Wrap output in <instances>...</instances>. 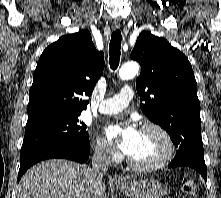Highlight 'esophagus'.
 Listing matches in <instances>:
<instances>
[{"label": "esophagus", "mask_w": 221, "mask_h": 198, "mask_svg": "<svg viewBox=\"0 0 221 198\" xmlns=\"http://www.w3.org/2000/svg\"><path fill=\"white\" fill-rule=\"evenodd\" d=\"M113 29L114 30H118L120 28V24H113ZM114 182L116 183H122L124 181L123 177L120 176V175H115L114 178H113Z\"/></svg>", "instance_id": "obj_1"}]
</instances>
